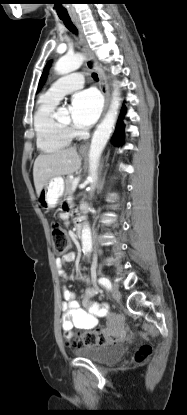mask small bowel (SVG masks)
I'll return each mask as SVG.
<instances>
[{
    "mask_svg": "<svg viewBox=\"0 0 187 415\" xmlns=\"http://www.w3.org/2000/svg\"><path fill=\"white\" fill-rule=\"evenodd\" d=\"M75 259L74 253H66L61 258H57L55 263L59 273L63 278L66 274L63 270L65 264L72 262ZM99 293L96 286L88 288L81 300L75 298L72 291L68 289L62 290V328L64 331L70 333L73 329L92 330L98 324L99 318L108 317L110 323L117 321L116 316H109L107 306L94 300V297Z\"/></svg>",
    "mask_w": 187,
    "mask_h": 415,
    "instance_id": "c3829d8e",
    "label": "small bowel"
}]
</instances>
